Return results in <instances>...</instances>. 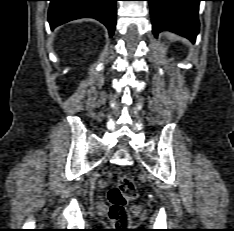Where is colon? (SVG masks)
I'll list each match as a JSON object with an SVG mask.
<instances>
[{
    "label": "colon",
    "instance_id": "5ec220e1",
    "mask_svg": "<svg viewBox=\"0 0 234 231\" xmlns=\"http://www.w3.org/2000/svg\"><path fill=\"white\" fill-rule=\"evenodd\" d=\"M138 195L135 181L130 176L121 177L117 184L108 191V216L117 230L127 231L131 224L128 203Z\"/></svg>",
    "mask_w": 234,
    "mask_h": 231
}]
</instances>
